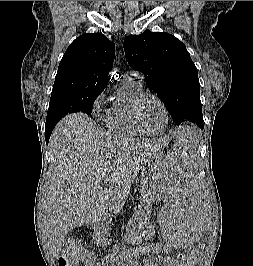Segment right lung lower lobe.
<instances>
[{
    "mask_svg": "<svg viewBox=\"0 0 253 266\" xmlns=\"http://www.w3.org/2000/svg\"><path fill=\"white\" fill-rule=\"evenodd\" d=\"M57 124V122L54 123H46V128H45V140L46 143L48 144L50 135L52 133L53 128L55 127V125Z\"/></svg>",
    "mask_w": 253,
    "mask_h": 266,
    "instance_id": "98d812e1",
    "label": "right lung lower lobe"
}]
</instances>
